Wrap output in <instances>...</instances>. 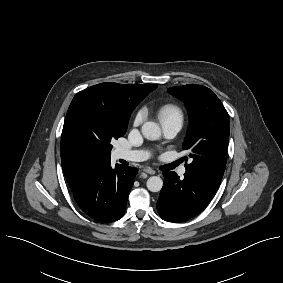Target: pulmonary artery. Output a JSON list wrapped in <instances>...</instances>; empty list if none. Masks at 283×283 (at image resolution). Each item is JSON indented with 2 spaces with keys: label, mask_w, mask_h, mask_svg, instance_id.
<instances>
[{
  "label": "pulmonary artery",
  "mask_w": 283,
  "mask_h": 283,
  "mask_svg": "<svg viewBox=\"0 0 283 283\" xmlns=\"http://www.w3.org/2000/svg\"><path fill=\"white\" fill-rule=\"evenodd\" d=\"M181 123L170 121L162 123V129L164 136L168 139L173 138L181 129ZM116 159H123L127 161H142L149 157V153L144 150H130L123 147H119L114 152ZM186 172L185 167H181L178 170L179 175H184Z\"/></svg>",
  "instance_id": "pulmonary-artery-1"
}]
</instances>
